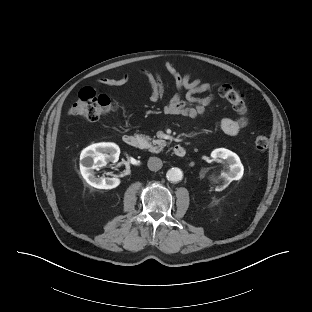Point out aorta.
Instances as JSON below:
<instances>
[{
	"label": "aorta",
	"instance_id": "1",
	"mask_svg": "<svg viewBox=\"0 0 312 312\" xmlns=\"http://www.w3.org/2000/svg\"><path fill=\"white\" fill-rule=\"evenodd\" d=\"M166 177L168 181L177 183L182 180L183 173L179 168L173 167L167 171Z\"/></svg>",
	"mask_w": 312,
	"mask_h": 312
}]
</instances>
